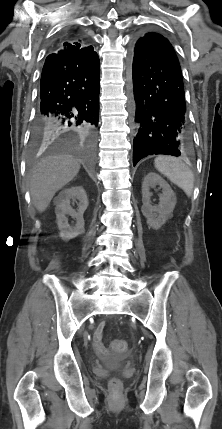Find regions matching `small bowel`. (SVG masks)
<instances>
[{
  "label": "small bowel",
  "mask_w": 222,
  "mask_h": 429,
  "mask_svg": "<svg viewBox=\"0 0 222 429\" xmlns=\"http://www.w3.org/2000/svg\"><path fill=\"white\" fill-rule=\"evenodd\" d=\"M104 325L100 324L94 334V346L97 353L102 357H108L109 351L102 342V333Z\"/></svg>",
  "instance_id": "1"
}]
</instances>
